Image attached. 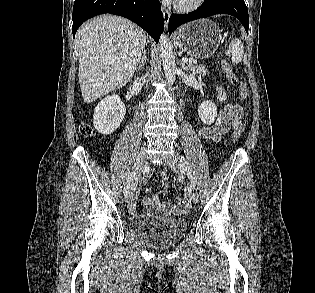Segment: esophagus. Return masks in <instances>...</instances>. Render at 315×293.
Returning <instances> with one entry per match:
<instances>
[{"label":"esophagus","instance_id":"34e87169","mask_svg":"<svg viewBox=\"0 0 315 293\" xmlns=\"http://www.w3.org/2000/svg\"><path fill=\"white\" fill-rule=\"evenodd\" d=\"M162 12H163L164 24H165V27H167L169 23V19H170V12L165 8H163Z\"/></svg>","mask_w":315,"mask_h":293}]
</instances>
